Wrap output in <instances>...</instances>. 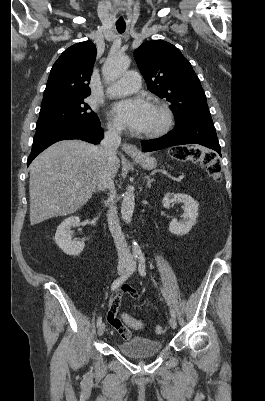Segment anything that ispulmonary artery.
<instances>
[{
    "mask_svg": "<svg viewBox=\"0 0 265 401\" xmlns=\"http://www.w3.org/2000/svg\"><path fill=\"white\" fill-rule=\"evenodd\" d=\"M140 77L136 72H127L121 75L114 87L116 90L109 91L107 97L121 99V95H137L139 93Z\"/></svg>",
    "mask_w": 265,
    "mask_h": 401,
    "instance_id": "e3ab8cb5",
    "label": "pulmonary artery"
}]
</instances>
